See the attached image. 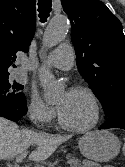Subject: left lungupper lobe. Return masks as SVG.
Returning a JSON list of instances; mask_svg holds the SVG:
<instances>
[{
    "label": "left lung upper lobe",
    "instance_id": "left-lung-upper-lobe-1",
    "mask_svg": "<svg viewBox=\"0 0 125 167\" xmlns=\"http://www.w3.org/2000/svg\"><path fill=\"white\" fill-rule=\"evenodd\" d=\"M71 21L77 67L106 116L125 109V36L122 24L99 0H61Z\"/></svg>",
    "mask_w": 125,
    "mask_h": 167
}]
</instances>
